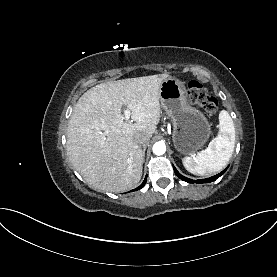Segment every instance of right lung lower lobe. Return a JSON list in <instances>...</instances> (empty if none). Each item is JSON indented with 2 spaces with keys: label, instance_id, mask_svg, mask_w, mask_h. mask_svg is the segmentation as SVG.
Segmentation results:
<instances>
[{
  "label": "right lung lower lobe",
  "instance_id": "98d812e1",
  "mask_svg": "<svg viewBox=\"0 0 277 277\" xmlns=\"http://www.w3.org/2000/svg\"><path fill=\"white\" fill-rule=\"evenodd\" d=\"M146 180H147V177L145 178V180L143 181V183H142L138 188H136L135 190H138V189L143 188L144 185H145V183H146ZM135 190H133V191H135Z\"/></svg>",
  "mask_w": 277,
  "mask_h": 277
}]
</instances>
